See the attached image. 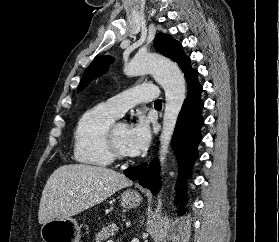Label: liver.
<instances>
[{
  "label": "liver",
  "instance_id": "obj_1",
  "mask_svg": "<svg viewBox=\"0 0 279 242\" xmlns=\"http://www.w3.org/2000/svg\"><path fill=\"white\" fill-rule=\"evenodd\" d=\"M131 184L125 175L105 167L85 164L61 166L51 174L43 189L39 223L70 218Z\"/></svg>",
  "mask_w": 279,
  "mask_h": 242
}]
</instances>
